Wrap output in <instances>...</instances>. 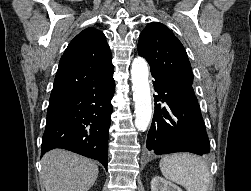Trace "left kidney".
Masks as SVG:
<instances>
[{"label":"left kidney","mask_w":251,"mask_h":191,"mask_svg":"<svg viewBox=\"0 0 251 191\" xmlns=\"http://www.w3.org/2000/svg\"><path fill=\"white\" fill-rule=\"evenodd\" d=\"M151 191H182V189L176 183L167 181L160 175H154L151 179Z\"/></svg>","instance_id":"1"}]
</instances>
